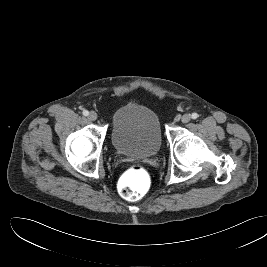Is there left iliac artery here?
<instances>
[{
  "label": "left iliac artery",
  "instance_id": "obj_1",
  "mask_svg": "<svg viewBox=\"0 0 267 267\" xmlns=\"http://www.w3.org/2000/svg\"><path fill=\"white\" fill-rule=\"evenodd\" d=\"M198 117V114L197 113H192V115H191V118L192 119H196Z\"/></svg>",
  "mask_w": 267,
  "mask_h": 267
}]
</instances>
